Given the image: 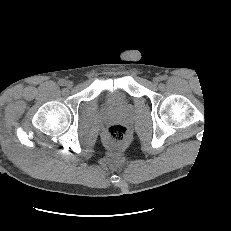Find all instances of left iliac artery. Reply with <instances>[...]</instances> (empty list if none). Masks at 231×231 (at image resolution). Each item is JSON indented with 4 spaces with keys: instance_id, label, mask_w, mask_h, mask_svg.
Returning <instances> with one entry per match:
<instances>
[{
    "instance_id": "obj_1",
    "label": "left iliac artery",
    "mask_w": 231,
    "mask_h": 231,
    "mask_svg": "<svg viewBox=\"0 0 231 231\" xmlns=\"http://www.w3.org/2000/svg\"><path fill=\"white\" fill-rule=\"evenodd\" d=\"M161 79H162V80H166V79H167V76H162Z\"/></svg>"
}]
</instances>
